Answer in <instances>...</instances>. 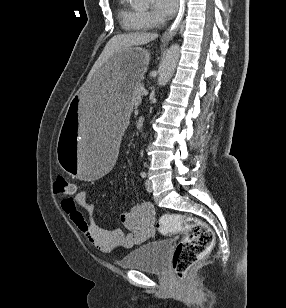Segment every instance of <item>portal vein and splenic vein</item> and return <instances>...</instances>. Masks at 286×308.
Instances as JSON below:
<instances>
[{
    "label": "portal vein and splenic vein",
    "mask_w": 286,
    "mask_h": 308,
    "mask_svg": "<svg viewBox=\"0 0 286 308\" xmlns=\"http://www.w3.org/2000/svg\"><path fill=\"white\" fill-rule=\"evenodd\" d=\"M142 93H143V95H147L148 94L147 90H145V89H143Z\"/></svg>",
    "instance_id": "portal-vein-and-splenic-vein-1"
}]
</instances>
